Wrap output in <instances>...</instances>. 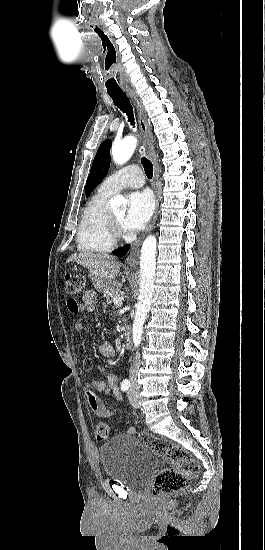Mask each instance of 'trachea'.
Instances as JSON below:
<instances>
[{
    "label": "trachea",
    "mask_w": 265,
    "mask_h": 550,
    "mask_svg": "<svg viewBox=\"0 0 265 550\" xmlns=\"http://www.w3.org/2000/svg\"><path fill=\"white\" fill-rule=\"evenodd\" d=\"M112 98L115 106H117L122 112L128 116V121L134 125L133 107L127 97L126 93L122 91L108 92ZM142 164L145 170V174L150 179L153 177V165L147 158H142Z\"/></svg>",
    "instance_id": "3493384b"
}]
</instances>
